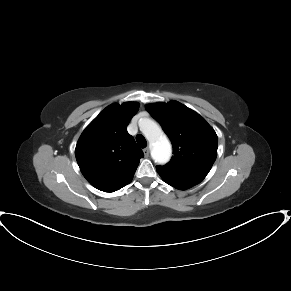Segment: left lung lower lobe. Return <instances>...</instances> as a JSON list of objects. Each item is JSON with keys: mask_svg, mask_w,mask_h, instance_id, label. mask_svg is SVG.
<instances>
[{"mask_svg": "<svg viewBox=\"0 0 291 291\" xmlns=\"http://www.w3.org/2000/svg\"><path fill=\"white\" fill-rule=\"evenodd\" d=\"M169 184V183H168ZM169 185H171V186H173V187H175V188H177V189H181V190H185V189H187V188H190V187H188V186H179V185H174V184H169Z\"/></svg>", "mask_w": 291, "mask_h": 291, "instance_id": "1", "label": "left lung lower lobe"}]
</instances>
